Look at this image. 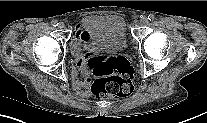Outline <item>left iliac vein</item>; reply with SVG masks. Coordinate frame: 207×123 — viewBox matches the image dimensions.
<instances>
[{"label":"left iliac vein","instance_id":"obj_1","mask_svg":"<svg viewBox=\"0 0 207 123\" xmlns=\"http://www.w3.org/2000/svg\"><path fill=\"white\" fill-rule=\"evenodd\" d=\"M140 22L142 24H146L148 22V18L146 16L141 17Z\"/></svg>","mask_w":207,"mask_h":123}]
</instances>
